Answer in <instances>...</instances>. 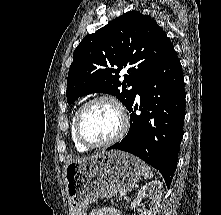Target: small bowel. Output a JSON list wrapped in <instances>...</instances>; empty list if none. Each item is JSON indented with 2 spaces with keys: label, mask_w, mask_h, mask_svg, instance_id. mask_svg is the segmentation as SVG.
Segmentation results:
<instances>
[{
  "label": "small bowel",
  "mask_w": 221,
  "mask_h": 215,
  "mask_svg": "<svg viewBox=\"0 0 221 215\" xmlns=\"http://www.w3.org/2000/svg\"><path fill=\"white\" fill-rule=\"evenodd\" d=\"M90 215H122V214L117 209L104 207L94 210Z\"/></svg>",
  "instance_id": "c3829d8e"
}]
</instances>
